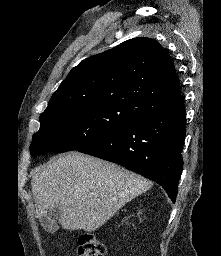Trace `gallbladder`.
<instances>
[{
	"label": "gallbladder",
	"instance_id": "gallbladder-1",
	"mask_svg": "<svg viewBox=\"0 0 221 256\" xmlns=\"http://www.w3.org/2000/svg\"><path fill=\"white\" fill-rule=\"evenodd\" d=\"M60 210L53 208L48 210L41 218L40 223L47 232H55L58 229Z\"/></svg>",
	"mask_w": 221,
	"mask_h": 256
}]
</instances>
